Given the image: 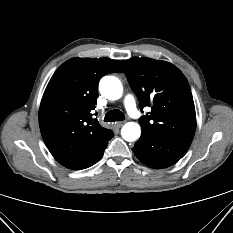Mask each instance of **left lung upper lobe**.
I'll list each match as a JSON object with an SVG mask.
<instances>
[{
	"mask_svg": "<svg viewBox=\"0 0 233 233\" xmlns=\"http://www.w3.org/2000/svg\"><path fill=\"white\" fill-rule=\"evenodd\" d=\"M121 64L136 93L141 110L142 132L192 141L196 129L194 101L187 79L173 64L150 58H131Z\"/></svg>",
	"mask_w": 233,
	"mask_h": 233,
	"instance_id": "obj_1",
	"label": "left lung upper lobe"
}]
</instances>
